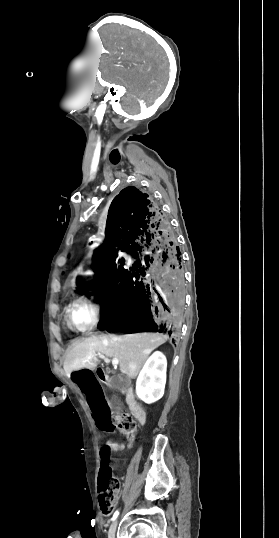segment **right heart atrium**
I'll return each instance as SVG.
<instances>
[{"mask_svg": "<svg viewBox=\"0 0 279 538\" xmlns=\"http://www.w3.org/2000/svg\"><path fill=\"white\" fill-rule=\"evenodd\" d=\"M106 226V222L103 223V227ZM98 290L97 281L94 277L89 280V287L86 293L83 295L84 302V316L86 327H92L97 323L100 313V304L92 300V295Z\"/></svg>", "mask_w": 279, "mask_h": 538, "instance_id": "1", "label": "right heart atrium"}]
</instances>
